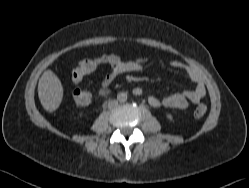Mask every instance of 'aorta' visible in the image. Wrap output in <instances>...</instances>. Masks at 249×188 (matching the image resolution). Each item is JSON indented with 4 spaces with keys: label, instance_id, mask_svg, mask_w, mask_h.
<instances>
[{
    "label": "aorta",
    "instance_id": "obj_1",
    "mask_svg": "<svg viewBox=\"0 0 249 188\" xmlns=\"http://www.w3.org/2000/svg\"><path fill=\"white\" fill-rule=\"evenodd\" d=\"M127 93L126 92H120L117 94V100L120 102V103H124L127 101Z\"/></svg>",
    "mask_w": 249,
    "mask_h": 188
}]
</instances>
